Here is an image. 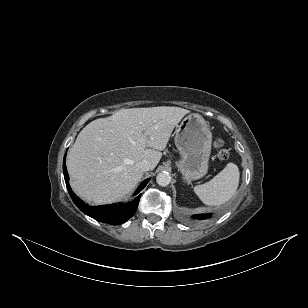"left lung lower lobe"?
I'll use <instances>...</instances> for the list:
<instances>
[{"label":"left lung lower lobe","instance_id":"0a47b994","mask_svg":"<svg viewBox=\"0 0 308 308\" xmlns=\"http://www.w3.org/2000/svg\"><path fill=\"white\" fill-rule=\"evenodd\" d=\"M211 216V214H199V215H195L194 218L196 219H207Z\"/></svg>","mask_w":308,"mask_h":308}]
</instances>
